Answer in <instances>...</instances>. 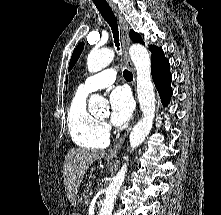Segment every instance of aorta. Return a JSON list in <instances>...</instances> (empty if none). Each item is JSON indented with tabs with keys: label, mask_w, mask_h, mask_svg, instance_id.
Returning <instances> with one entry per match:
<instances>
[{
	"label": "aorta",
	"mask_w": 221,
	"mask_h": 215,
	"mask_svg": "<svg viewBox=\"0 0 221 215\" xmlns=\"http://www.w3.org/2000/svg\"><path fill=\"white\" fill-rule=\"evenodd\" d=\"M129 54L137 73V94L143 117L135 124L130 136L129 145L131 150L138 147L152 129L155 117V94L151 78V61L147 49L141 44H133ZM114 51L111 49L93 50L87 58V67L90 72H98L107 67L114 59ZM107 109L105 100L99 95H92L89 100V112L100 113ZM127 163L122 165L121 170L113 178L106 189L105 199L99 215H112L114 202L125 180Z\"/></svg>",
	"instance_id": "obj_1"
}]
</instances>
